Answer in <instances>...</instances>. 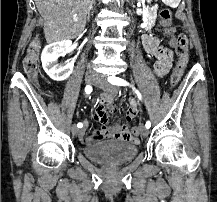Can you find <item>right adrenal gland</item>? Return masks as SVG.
<instances>
[{
    "label": "right adrenal gland",
    "mask_w": 217,
    "mask_h": 202,
    "mask_svg": "<svg viewBox=\"0 0 217 202\" xmlns=\"http://www.w3.org/2000/svg\"><path fill=\"white\" fill-rule=\"evenodd\" d=\"M95 4H96L95 0H90V2L88 4V10H87V20H89L90 12H91V10H93V6H95Z\"/></svg>",
    "instance_id": "2a0ac1e0"
}]
</instances>
